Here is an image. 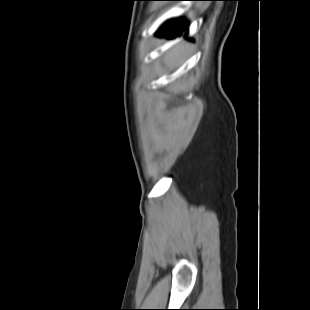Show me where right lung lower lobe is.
I'll list each match as a JSON object with an SVG mask.
<instances>
[{"mask_svg": "<svg viewBox=\"0 0 310 310\" xmlns=\"http://www.w3.org/2000/svg\"><path fill=\"white\" fill-rule=\"evenodd\" d=\"M186 27V24L182 23V22H178V21H173L168 23L163 31L162 34L166 37H176L182 34V32L184 31Z\"/></svg>", "mask_w": 310, "mask_h": 310, "instance_id": "obj_1", "label": "right lung lower lobe"}]
</instances>
